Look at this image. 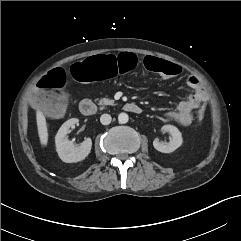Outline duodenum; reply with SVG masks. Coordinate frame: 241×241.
Returning a JSON list of instances; mask_svg holds the SVG:
<instances>
[{
	"label": "duodenum",
	"mask_w": 241,
	"mask_h": 241,
	"mask_svg": "<svg viewBox=\"0 0 241 241\" xmlns=\"http://www.w3.org/2000/svg\"><path fill=\"white\" fill-rule=\"evenodd\" d=\"M125 110L134 114L141 113V108L134 103H127L124 106ZM79 110L84 116H92L97 113L98 106L90 99H84L79 104Z\"/></svg>",
	"instance_id": "duodenum-1"
}]
</instances>
